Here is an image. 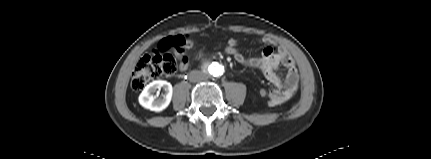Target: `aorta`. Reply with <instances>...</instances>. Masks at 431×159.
I'll return each instance as SVG.
<instances>
[{"label": "aorta", "instance_id": "762f6f07", "mask_svg": "<svg viewBox=\"0 0 431 159\" xmlns=\"http://www.w3.org/2000/svg\"><path fill=\"white\" fill-rule=\"evenodd\" d=\"M204 73L210 77H219L224 73V67L217 62H209L204 66Z\"/></svg>", "mask_w": 431, "mask_h": 159}]
</instances>
